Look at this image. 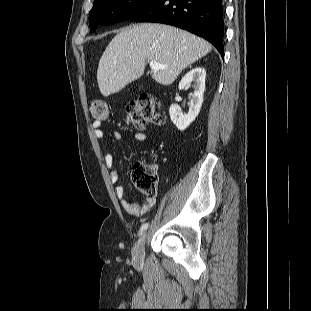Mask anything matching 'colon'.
Here are the masks:
<instances>
[{
	"label": "colon",
	"instance_id": "obj_1",
	"mask_svg": "<svg viewBox=\"0 0 311 311\" xmlns=\"http://www.w3.org/2000/svg\"><path fill=\"white\" fill-rule=\"evenodd\" d=\"M89 113L91 119L104 122L109 118V108L105 100L96 98L91 101ZM129 122L136 128H143L147 123H160L161 116L156 110V101L149 94L142 95L138 100L126 106ZM132 180L140 192L148 197H155L158 192L159 178L149 164H135L132 168Z\"/></svg>",
	"mask_w": 311,
	"mask_h": 311
}]
</instances>
